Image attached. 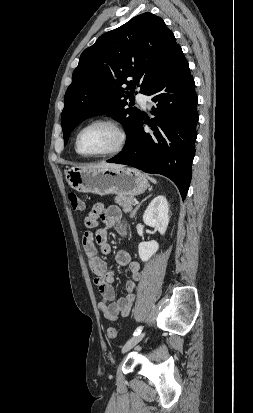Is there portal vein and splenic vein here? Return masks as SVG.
Masks as SVG:
<instances>
[{
	"label": "portal vein and splenic vein",
	"mask_w": 253,
	"mask_h": 413,
	"mask_svg": "<svg viewBox=\"0 0 253 413\" xmlns=\"http://www.w3.org/2000/svg\"><path fill=\"white\" fill-rule=\"evenodd\" d=\"M134 203H135V204H137V203H138V201H137V200H134Z\"/></svg>",
	"instance_id": "18ae733b"
}]
</instances>
